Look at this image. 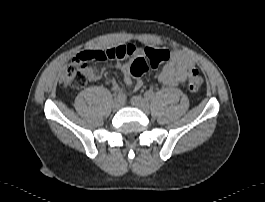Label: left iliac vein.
<instances>
[{
    "label": "left iliac vein",
    "mask_w": 265,
    "mask_h": 202,
    "mask_svg": "<svg viewBox=\"0 0 265 202\" xmlns=\"http://www.w3.org/2000/svg\"><path fill=\"white\" fill-rule=\"evenodd\" d=\"M131 103L146 114L150 112V104L146 98L136 95L131 98Z\"/></svg>",
    "instance_id": "left-iliac-vein-1"
}]
</instances>
